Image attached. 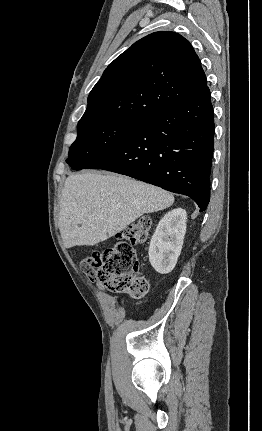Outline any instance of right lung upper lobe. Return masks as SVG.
<instances>
[{"label":"right lung upper lobe","instance_id":"cb5924a9","mask_svg":"<svg viewBox=\"0 0 262 431\" xmlns=\"http://www.w3.org/2000/svg\"><path fill=\"white\" fill-rule=\"evenodd\" d=\"M206 88L205 73L191 44L177 33L155 32L106 68L78 124L143 120Z\"/></svg>","mask_w":262,"mask_h":431}]
</instances>
